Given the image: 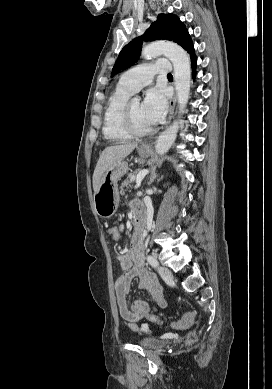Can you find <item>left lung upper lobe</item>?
I'll return each mask as SVG.
<instances>
[{
  "label": "left lung upper lobe",
  "mask_w": 272,
  "mask_h": 389,
  "mask_svg": "<svg viewBox=\"0 0 272 389\" xmlns=\"http://www.w3.org/2000/svg\"><path fill=\"white\" fill-rule=\"evenodd\" d=\"M169 40L182 46L188 53L194 48L185 25L173 14H159L140 37L133 39L123 47L112 69V75L133 65L139 58L144 40Z\"/></svg>",
  "instance_id": "obj_1"
}]
</instances>
